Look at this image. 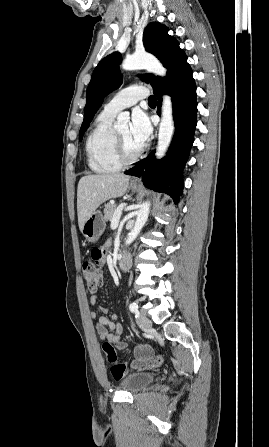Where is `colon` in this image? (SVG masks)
<instances>
[{"mask_svg":"<svg viewBox=\"0 0 269 447\" xmlns=\"http://www.w3.org/2000/svg\"><path fill=\"white\" fill-rule=\"evenodd\" d=\"M104 264V252L101 250H94L90 254V259L82 263V276L85 280L87 291L89 294H95L102 286ZM103 352L107 360L112 363L110 367L111 377L115 380H121L125 376L133 373L144 371L147 368L154 369L164 362L163 357H152L148 361H139L134 364H126L124 362H117V351L109 343L103 345ZM136 353L141 356H148L151 350L146 347H140Z\"/></svg>","mask_w":269,"mask_h":447,"instance_id":"obj_1","label":"colon"}]
</instances>
